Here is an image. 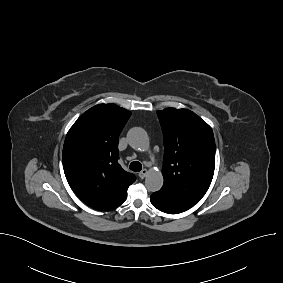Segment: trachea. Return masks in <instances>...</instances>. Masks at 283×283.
<instances>
[{
    "label": "trachea",
    "mask_w": 283,
    "mask_h": 283,
    "mask_svg": "<svg viewBox=\"0 0 283 283\" xmlns=\"http://www.w3.org/2000/svg\"><path fill=\"white\" fill-rule=\"evenodd\" d=\"M129 168H130L132 171H134V172H139V171H141V169H142V164H141L140 162H138V161H133V162L130 164Z\"/></svg>",
    "instance_id": "obj_1"
}]
</instances>
